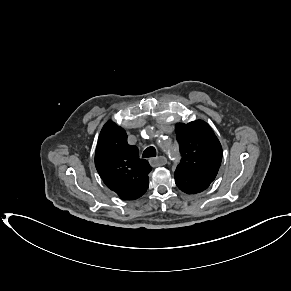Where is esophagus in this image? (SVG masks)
Wrapping results in <instances>:
<instances>
[{"label": "esophagus", "mask_w": 291, "mask_h": 291, "mask_svg": "<svg viewBox=\"0 0 291 291\" xmlns=\"http://www.w3.org/2000/svg\"><path fill=\"white\" fill-rule=\"evenodd\" d=\"M151 166L153 167H157V166H163L167 163V159L166 157L164 156H158V157H155V158H151L149 160Z\"/></svg>", "instance_id": "obj_1"}]
</instances>
